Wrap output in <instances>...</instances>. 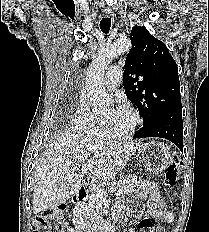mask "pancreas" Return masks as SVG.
<instances>
[{
    "instance_id": "1",
    "label": "pancreas",
    "mask_w": 209,
    "mask_h": 232,
    "mask_svg": "<svg viewBox=\"0 0 209 232\" xmlns=\"http://www.w3.org/2000/svg\"><path fill=\"white\" fill-rule=\"evenodd\" d=\"M112 185L122 188L124 194H129L134 191L137 185V175H130ZM100 203V199H98L95 194L91 195L88 203L75 209L73 216L74 220L92 231L96 230L99 226L100 210L98 209V206Z\"/></svg>"
}]
</instances>
